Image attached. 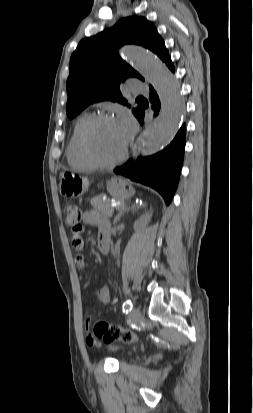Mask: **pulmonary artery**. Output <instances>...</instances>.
<instances>
[{"label": "pulmonary artery", "mask_w": 253, "mask_h": 413, "mask_svg": "<svg viewBox=\"0 0 253 413\" xmlns=\"http://www.w3.org/2000/svg\"><path fill=\"white\" fill-rule=\"evenodd\" d=\"M130 90L135 94H147L148 88L139 82H132L130 84Z\"/></svg>", "instance_id": "obj_1"}]
</instances>
